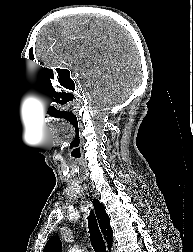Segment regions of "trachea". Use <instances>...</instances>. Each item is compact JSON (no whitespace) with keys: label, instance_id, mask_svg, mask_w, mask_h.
I'll return each mask as SVG.
<instances>
[{"label":"trachea","instance_id":"1","mask_svg":"<svg viewBox=\"0 0 193 252\" xmlns=\"http://www.w3.org/2000/svg\"><path fill=\"white\" fill-rule=\"evenodd\" d=\"M88 219L90 241L95 252H107L94 212L91 210Z\"/></svg>","mask_w":193,"mask_h":252}]
</instances>
